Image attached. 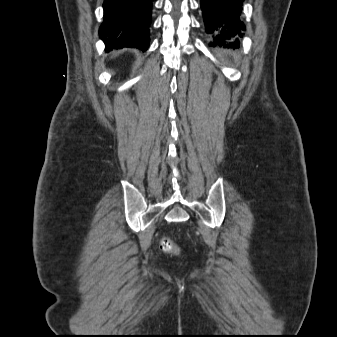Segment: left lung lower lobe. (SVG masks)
Returning <instances> with one entry per match:
<instances>
[{
    "label": "left lung lower lobe",
    "instance_id": "left-lung-lower-lobe-1",
    "mask_svg": "<svg viewBox=\"0 0 337 337\" xmlns=\"http://www.w3.org/2000/svg\"><path fill=\"white\" fill-rule=\"evenodd\" d=\"M204 22L208 34H213L214 43L210 45H224L239 47V38L246 30L241 20V4L243 0H200Z\"/></svg>",
    "mask_w": 337,
    "mask_h": 337
}]
</instances>
